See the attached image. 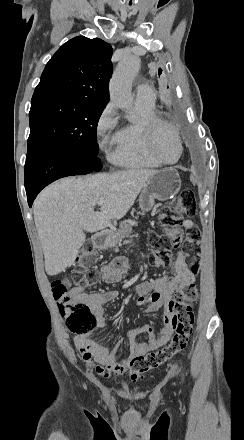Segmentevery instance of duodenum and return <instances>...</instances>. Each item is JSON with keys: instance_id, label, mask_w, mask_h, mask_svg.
<instances>
[{"instance_id": "1", "label": "duodenum", "mask_w": 244, "mask_h": 440, "mask_svg": "<svg viewBox=\"0 0 244 440\" xmlns=\"http://www.w3.org/2000/svg\"><path fill=\"white\" fill-rule=\"evenodd\" d=\"M107 238H108V232L97 233L92 237V244L98 249H104L106 248Z\"/></svg>"}]
</instances>
